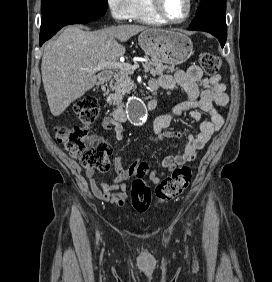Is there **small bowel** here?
<instances>
[{"instance_id": "c3829d8e", "label": "small bowel", "mask_w": 272, "mask_h": 282, "mask_svg": "<svg viewBox=\"0 0 272 282\" xmlns=\"http://www.w3.org/2000/svg\"><path fill=\"white\" fill-rule=\"evenodd\" d=\"M158 89L175 90L180 89L187 100L175 106L171 112L159 116L154 125V134L149 137L152 142L158 143L165 139H175L178 133L169 130L173 120L188 113L195 122H200L197 136H188V143L184 151L176 156H168L161 162V166L168 170H174L194 159L199 150L203 149L215 131L223 125V118L218 113L217 107L225 106L229 96L226 85L221 82L219 75L205 77L200 67L190 66L186 71L179 70L173 76H162L157 79ZM202 112L210 116V121H201ZM104 130L113 129L115 138L122 140L124 137L123 125L112 117L104 119L102 123ZM114 168L116 177L110 182H98L94 179L95 171L86 169L85 175L90 182L94 195L119 207H124L127 194V180L132 175V168H147V164L136 158L130 168L121 163L120 157H115ZM161 174L156 171L149 173L152 183L161 182Z\"/></svg>"}]
</instances>
